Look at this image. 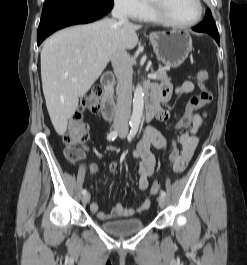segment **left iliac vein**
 <instances>
[{
  "mask_svg": "<svg viewBox=\"0 0 247 265\" xmlns=\"http://www.w3.org/2000/svg\"><path fill=\"white\" fill-rule=\"evenodd\" d=\"M125 135H126V131H123L121 134H120V137H125ZM158 203H159V206L161 207V208H163L164 206H165V203H166V198H165V196H159V198H158Z\"/></svg>",
  "mask_w": 247,
  "mask_h": 265,
  "instance_id": "4c4485c4",
  "label": "left iliac vein"
}]
</instances>
